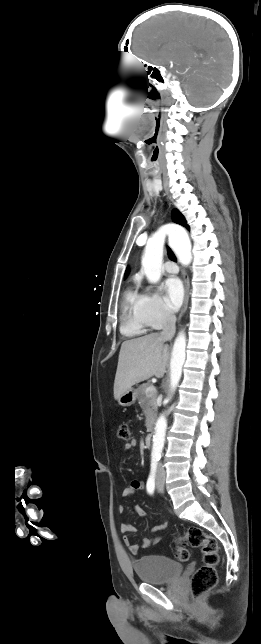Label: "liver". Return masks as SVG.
<instances>
[{
	"mask_svg": "<svg viewBox=\"0 0 261 644\" xmlns=\"http://www.w3.org/2000/svg\"><path fill=\"white\" fill-rule=\"evenodd\" d=\"M165 338L153 333L122 343L114 381V398L152 376L162 378L168 360Z\"/></svg>",
	"mask_w": 261,
	"mask_h": 644,
	"instance_id": "1",
	"label": "liver"
}]
</instances>
